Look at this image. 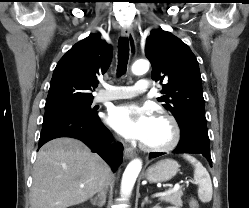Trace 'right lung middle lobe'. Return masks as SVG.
<instances>
[{
  "label": "right lung middle lobe",
  "instance_id": "dd1d6c3e",
  "mask_svg": "<svg viewBox=\"0 0 249 208\" xmlns=\"http://www.w3.org/2000/svg\"><path fill=\"white\" fill-rule=\"evenodd\" d=\"M93 100L62 104L50 108H45V113L55 111L64 113H75L82 116L93 117L97 114L96 109L91 108Z\"/></svg>",
  "mask_w": 249,
  "mask_h": 208
}]
</instances>
